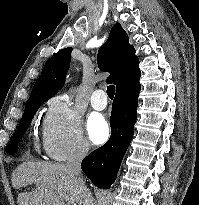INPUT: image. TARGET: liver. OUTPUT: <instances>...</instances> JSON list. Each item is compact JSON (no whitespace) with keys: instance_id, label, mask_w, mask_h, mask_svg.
<instances>
[{"instance_id":"6515ba94","label":"liver","mask_w":199,"mask_h":205,"mask_svg":"<svg viewBox=\"0 0 199 205\" xmlns=\"http://www.w3.org/2000/svg\"><path fill=\"white\" fill-rule=\"evenodd\" d=\"M36 184L30 192L18 195V205H66L61 195L73 203L83 205L84 197L73 172L65 164L48 162H23L12 174L15 189Z\"/></svg>"}]
</instances>
